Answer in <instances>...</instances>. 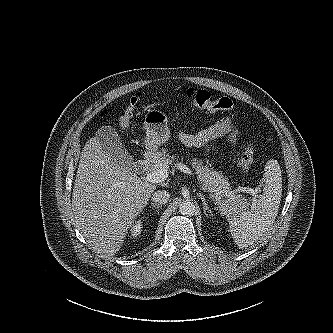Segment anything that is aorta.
<instances>
[{"label":"aorta","instance_id":"aorta-1","mask_svg":"<svg viewBox=\"0 0 333 333\" xmlns=\"http://www.w3.org/2000/svg\"><path fill=\"white\" fill-rule=\"evenodd\" d=\"M179 212L182 215L192 216L195 212V205L191 200H183L179 205Z\"/></svg>","mask_w":333,"mask_h":333}]
</instances>
